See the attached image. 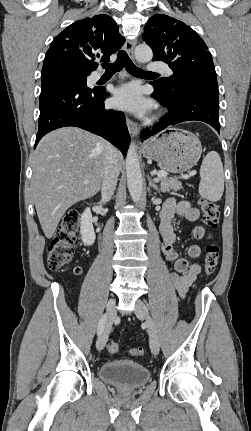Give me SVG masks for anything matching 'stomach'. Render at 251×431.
Wrapping results in <instances>:
<instances>
[{"label": "stomach", "instance_id": "1", "mask_svg": "<svg viewBox=\"0 0 251 431\" xmlns=\"http://www.w3.org/2000/svg\"><path fill=\"white\" fill-rule=\"evenodd\" d=\"M202 146L199 139L188 131L169 128L151 138L143 147V155L155 160L162 169L183 173L199 160Z\"/></svg>", "mask_w": 251, "mask_h": 431}]
</instances>
